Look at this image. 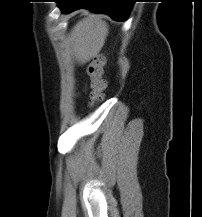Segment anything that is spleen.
<instances>
[{"label":"spleen","instance_id":"3e777b00","mask_svg":"<svg viewBox=\"0 0 202 217\" xmlns=\"http://www.w3.org/2000/svg\"><path fill=\"white\" fill-rule=\"evenodd\" d=\"M107 34V23L101 17L93 15L74 26L70 43L77 57H90L102 48Z\"/></svg>","mask_w":202,"mask_h":217}]
</instances>
